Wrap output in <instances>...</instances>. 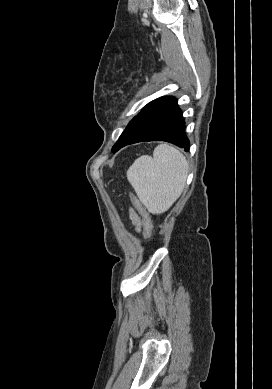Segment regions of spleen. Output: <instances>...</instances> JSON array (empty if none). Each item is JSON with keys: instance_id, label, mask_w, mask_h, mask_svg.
I'll use <instances>...</instances> for the list:
<instances>
[{"instance_id": "3e777b00", "label": "spleen", "mask_w": 272, "mask_h": 389, "mask_svg": "<svg viewBox=\"0 0 272 389\" xmlns=\"http://www.w3.org/2000/svg\"><path fill=\"white\" fill-rule=\"evenodd\" d=\"M187 175L186 158L168 144L158 145L153 157H139L127 170L129 183L152 214H161L173 205L184 189Z\"/></svg>"}]
</instances>
